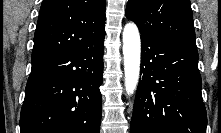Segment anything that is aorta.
<instances>
[{"label":"aorta","mask_w":221,"mask_h":133,"mask_svg":"<svg viewBox=\"0 0 221 133\" xmlns=\"http://www.w3.org/2000/svg\"><path fill=\"white\" fill-rule=\"evenodd\" d=\"M123 56L125 89L128 95L136 90L140 75L141 42L134 23H128L123 30Z\"/></svg>","instance_id":"762f6f07"}]
</instances>
